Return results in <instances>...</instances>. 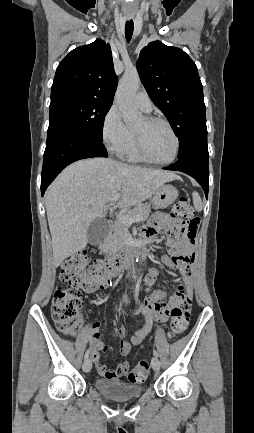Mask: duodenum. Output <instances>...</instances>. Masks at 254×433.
<instances>
[{"label": "duodenum", "instance_id": "duodenum-1", "mask_svg": "<svg viewBox=\"0 0 254 433\" xmlns=\"http://www.w3.org/2000/svg\"><path fill=\"white\" fill-rule=\"evenodd\" d=\"M108 225H110V222H108ZM146 248H148V241L145 239L139 242H129L116 252H113L106 262L114 272H121L134 264L138 251Z\"/></svg>", "mask_w": 254, "mask_h": 433}]
</instances>
